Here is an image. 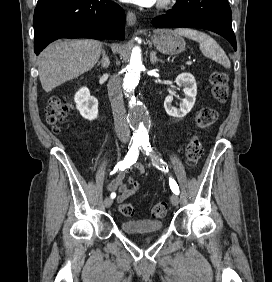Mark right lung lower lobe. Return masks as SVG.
<instances>
[{
  "label": "right lung lower lobe",
  "mask_w": 272,
  "mask_h": 282,
  "mask_svg": "<svg viewBox=\"0 0 272 282\" xmlns=\"http://www.w3.org/2000/svg\"><path fill=\"white\" fill-rule=\"evenodd\" d=\"M125 13L111 0H38L34 11V51L59 38L123 40Z\"/></svg>",
  "instance_id": "obj_1"
}]
</instances>
